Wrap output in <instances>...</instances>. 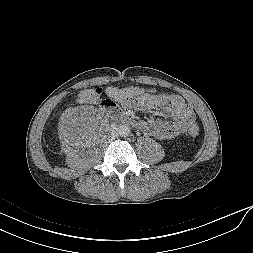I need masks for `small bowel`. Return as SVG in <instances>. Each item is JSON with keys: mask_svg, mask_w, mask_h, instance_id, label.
<instances>
[{"mask_svg": "<svg viewBox=\"0 0 253 253\" xmlns=\"http://www.w3.org/2000/svg\"><path fill=\"white\" fill-rule=\"evenodd\" d=\"M143 109H159L162 113L171 117V122L166 120H155L151 122H140V129L147 134L159 140H168L183 134L191 121H195L193 109L186 104L184 99L177 94H158L151 91H146L137 98L127 102H121L109 97H102L99 100L100 105L113 109L120 110L121 105Z\"/></svg>", "mask_w": 253, "mask_h": 253, "instance_id": "obj_1", "label": "small bowel"}]
</instances>
